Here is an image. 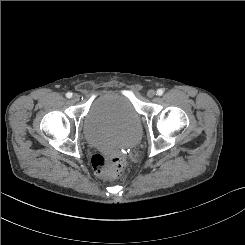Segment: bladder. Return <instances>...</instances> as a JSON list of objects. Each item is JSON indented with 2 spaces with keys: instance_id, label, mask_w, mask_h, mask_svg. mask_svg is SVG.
Returning <instances> with one entry per match:
<instances>
[{
  "instance_id": "1",
  "label": "bladder",
  "mask_w": 245,
  "mask_h": 245,
  "mask_svg": "<svg viewBox=\"0 0 245 245\" xmlns=\"http://www.w3.org/2000/svg\"><path fill=\"white\" fill-rule=\"evenodd\" d=\"M85 139L94 146L128 149L141 137L140 116L130 99L117 92L96 97L82 123Z\"/></svg>"
}]
</instances>
